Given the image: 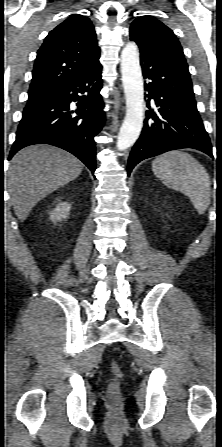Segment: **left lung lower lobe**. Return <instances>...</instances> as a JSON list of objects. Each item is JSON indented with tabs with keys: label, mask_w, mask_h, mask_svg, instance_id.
Listing matches in <instances>:
<instances>
[{
	"label": "left lung lower lobe",
	"mask_w": 222,
	"mask_h": 447,
	"mask_svg": "<svg viewBox=\"0 0 222 447\" xmlns=\"http://www.w3.org/2000/svg\"><path fill=\"white\" fill-rule=\"evenodd\" d=\"M138 46L143 76L149 80L145 83L148 110L142 134L128 159V175L140 161L174 149L194 148L213 157L196 108L190 74L163 55Z\"/></svg>",
	"instance_id": "obj_1"
}]
</instances>
